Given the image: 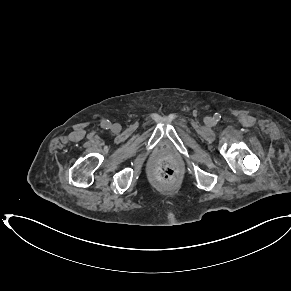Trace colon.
<instances>
[{
	"instance_id": "5ec220e1",
	"label": "colon",
	"mask_w": 291,
	"mask_h": 291,
	"mask_svg": "<svg viewBox=\"0 0 291 291\" xmlns=\"http://www.w3.org/2000/svg\"><path fill=\"white\" fill-rule=\"evenodd\" d=\"M156 173L161 182H171L176 176V166L172 161L164 160L158 165Z\"/></svg>"
}]
</instances>
